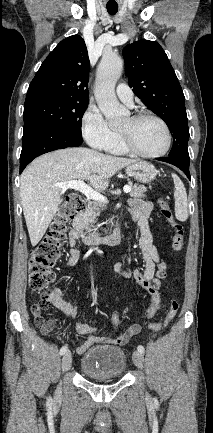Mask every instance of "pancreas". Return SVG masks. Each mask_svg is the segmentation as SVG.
Returning <instances> with one entry per match:
<instances>
[{
    "label": "pancreas",
    "mask_w": 213,
    "mask_h": 433,
    "mask_svg": "<svg viewBox=\"0 0 213 433\" xmlns=\"http://www.w3.org/2000/svg\"><path fill=\"white\" fill-rule=\"evenodd\" d=\"M131 187L130 196L133 198H143L145 197L146 187L143 185H137L130 183ZM103 206L97 203L90 204L81 214L82 224L87 232L90 233L91 236H96V228L94 230L91 227H94V223L97 217L100 215V211L103 210ZM93 231V232H92ZM92 232V233H91Z\"/></svg>",
    "instance_id": "1"
}]
</instances>
